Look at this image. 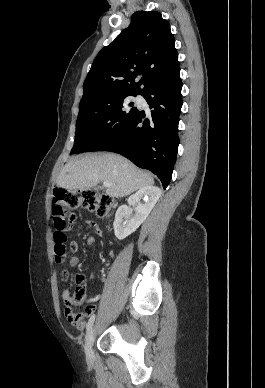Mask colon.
<instances>
[{"label":"colon","instance_id":"obj_1","mask_svg":"<svg viewBox=\"0 0 265 388\" xmlns=\"http://www.w3.org/2000/svg\"><path fill=\"white\" fill-rule=\"evenodd\" d=\"M77 207H84L95 212L101 217L108 216L115 207L113 198L100 194L94 190L55 189L53 197V219H54V257L55 261L62 263L67 256V232L72 220L71 210ZM71 250H76V244L71 245ZM76 281L79 284L76 291L66 302L65 316L72 325H77L82 315L72 309V306L80 304L85 297V288L82 286L83 276L77 275Z\"/></svg>","mask_w":265,"mask_h":388}]
</instances>
